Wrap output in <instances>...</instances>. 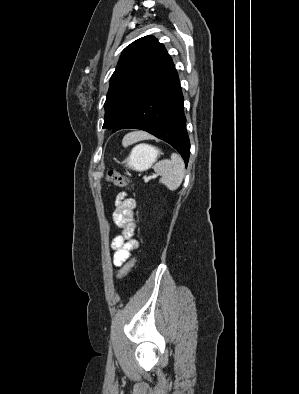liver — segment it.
Wrapping results in <instances>:
<instances>
[{"label": "liver", "mask_w": 299, "mask_h": 394, "mask_svg": "<svg viewBox=\"0 0 299 394\" xmlns=\"http://www.w3.org/2000/svg\"><path fill=\"white\" fill-rule=\"evenodd\" d=\"M147 137H149V135L145 132L131 133V134L127 135V142L125 143V146L130 145L131 143H133L139 139L147 138Z\"/></svg>", "instance_id": "6515ba94"}]
</instances>
